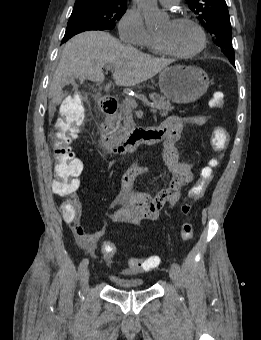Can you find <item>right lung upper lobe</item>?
<instances>
[{"label":"right lung upper lobe","mask_w":261,"mask_h":340,"mask_svg":"<svg viewBox=\"0 0 261 340\" xmlns=\"http://www.w3.org/2000/svg\"><path fill=\"white\" fill-rule=\"evenodd\" d=\"M80 2L126 3L125 0H76L75 3H80Z\"/></svg>","instance_id":"1"}]
</instances>
